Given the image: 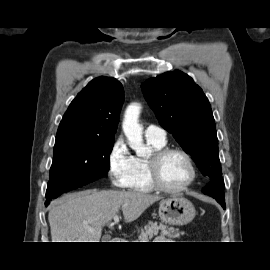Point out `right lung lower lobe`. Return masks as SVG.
Listing matches in <instances>:
<instances>
[{
    "instance_id": "1",
    "label": "right lung lower lobe",
    "mask_w": 270,
    "mask_h": 270,
    "mask_svg": "<svg viewBox=\"0 0 270 270\" xmlns=\"http://www.w3.org/2000/svg\"><path fill=\"white\" fill-rule=\"evenodd\" d=\"M53 198H48L47 200H46V202H45V205L47 206V205H49V203H50V201L52 200Z\"/></svg>"
}]
</instances>
